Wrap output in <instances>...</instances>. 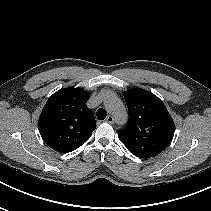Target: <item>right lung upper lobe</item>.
<instances>
[{"mask_svg": "<svg viewBox=\"0 0 211 211\" xmlns=\"http://www.w3.org/2000/svg\"><path fill=\"white\" fill-rule=\"evenodd\" d=\"M89 93L82 88H64L46 102L38 126L44 141L55 151L68 153L84 144L96 128Z\"/></svg>", "mask_w": 211, "mask_h": 211, "instance_id": "1", "label": "right lung upper lobe"}]
</instances>
